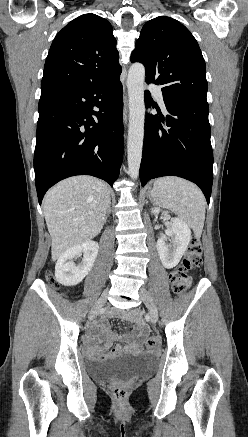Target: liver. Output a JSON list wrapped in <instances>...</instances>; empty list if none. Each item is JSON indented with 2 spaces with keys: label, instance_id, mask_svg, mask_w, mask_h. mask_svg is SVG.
I'll use <instances>...</instances> for the list:
<instances>
[{
  "label": "liver",
  "instance_id": "liver-1",
  "mask_svg": "<svg viewBox=\"0 0 248 437\" xmlns=\"http://www.w3.org/2000/svg\"><path fill=\"white\" fill-rule=\"evenodd\" d=\"M109 202L107 185L92 176L68 178L47 192L44 216L52 238L53 261L100 233Z\"/></svg>",
  "mask_w": 248,
  "mask_h": 437
}]
</instances>
